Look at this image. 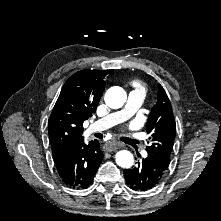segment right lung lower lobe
<instances>
[{"mask_svg": "<svg viewBox=\"0 0 221 221\" xmlns=\"http://www.w3.org/2000/svg\"><path fill=\"white\" fill-rule=\"evenodd\" d=\"M98 140L84 143V139L54 158L64 184L71 188H88L103 159Z\"/></svg>", "mask_w": 221, "mask_h": 221, "instance_id": "98d812e1", "label": "right lung lower lobe"}]
</instances>
